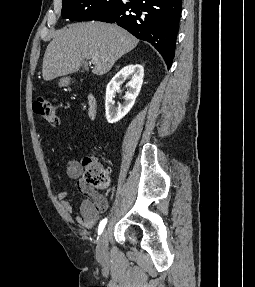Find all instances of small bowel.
<instances>
[{
  "label": "small bowel",
  "mask_w": 255,
  "mask_h": 287,
  "mask_svg": "<svg viewBox=\"0 0 255 287\" xmlns=\"http://www.w3.org/2000/svg\"><path fill=\"white\" fill-rule=\"evenodd\" d=\"M65 172L69 179L77 182L78 189L87 197L81 203L80 212L75 217V221L81 227L91 230L98 224L100 215L106 211L108 202L103 195L91 191L84 183L82 180L83 168L79 161H68ZM67 196L68 193L66 191H60L57 194V200L64 218L71 222L73 221V211L70 202L67 200Z\"/></svg>",
  "instance_id": "small-bowel-1"
}]
</instances>
